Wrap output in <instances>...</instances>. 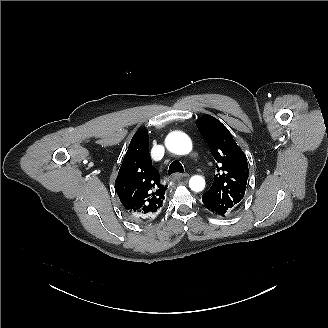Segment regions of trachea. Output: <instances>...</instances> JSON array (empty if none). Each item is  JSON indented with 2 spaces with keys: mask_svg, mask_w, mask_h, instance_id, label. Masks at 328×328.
<instances>
[{
  "mask_svg": "<svg viewBox=\"0 0 328 328\" xmlns=\"http://www.w3.org/2000/svg\"><path fill=\"white\" fill-rule=\"evenodd\" d=\"M175 172H180V173H183L184 172L183 166L178 161H173L170 164L169 169H168V175L170 176L171 174H173Z\"/></svg>",
  "mask_w": 328,
  "mask_h": 328,
  "instance_id": "trachea-1",
  "label": "trachea"
}]
</instances>
